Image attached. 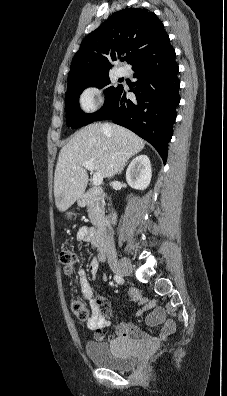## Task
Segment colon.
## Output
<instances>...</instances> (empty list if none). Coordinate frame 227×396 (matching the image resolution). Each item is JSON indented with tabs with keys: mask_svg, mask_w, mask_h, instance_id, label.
I'll list each match as a JSON object with an SVG mask.
<instances>
[{
	"mask_svg": "<svg viewBox=\"0 0 227 396\" xmlns=\"http://www.w3.org/2000/svg\"><path fill=\"white\" fill-rule=\"evenodd\" d=\"M60 261L64 265L65 273L71 275L74 271V265L77 262V254L72 247H65L60 253ZM73 314L81 321H87L90 318V310L88 306L80 301L73 300L71 302Z\"/></svg>",
	"mask_w": 227,
	"mask_h": 396,
	"instance_id": "obj_1",
	"label": "colon"
}]
</instances>
